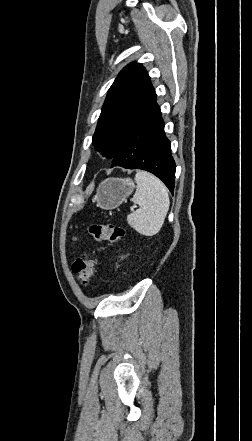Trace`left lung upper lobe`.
Listing matches in <instances>:
<instances>
[{
    "instance_id": "5c2ea615",
    "label": "left lung upper lobe",
    "mask_w": 252,
    "mask_h": 441,
    "mask_svg": "<svg viewBox=\"0 0 252 441\" xmlns=\"http://www.w3.org/2000/svg\"><path fill=\"white\" fill-rule=\"evenodd\" d=\"M152 90L150 77L141 64L131 63L119 73L108 91L92 139L103 156L113 159Z\"/></svg>"
}]
</instances>
